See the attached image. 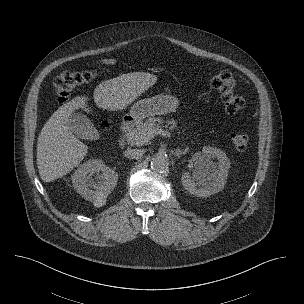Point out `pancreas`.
I'll return each instance as SVG.
<instances>
[{"mask_svg":"<svg viewBox=\"0 0 304 304\" xmlns=\"http://www.w3.org/2000/svg\"><path fill=\"white\" fill-rule=\"evenodd\" d=\"M162 123H164V120L159 117H149L145 122H139L135 129H132L127 133L128 143L136 146L148 144L151 139L148 137V134L153 129H160ZM167 125H170V129L173 130L177 127V122L172 119L167 121Z\"/></svg>","mask_w":304,"mask_h":304,"instance_id":"1","label":"pancreas"}]
</instances>
